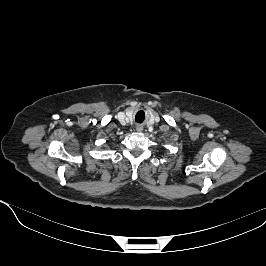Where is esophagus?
Wrapping results in <instances>:
<instances>
[{"instance_id": "34e87169", "label": "esophagus", "mask_w": 266, "mask_h": 266, "mask_svg": "<svg viewBox=\"0 0 266 266\" xmlns=\"http://www.w3.org/2000/svg\"><path fill=\"white\" fill-rule=\"evenodd\" d=\"M136 130H137L138 132H141V131H142V127H141L140 125H137V126H136Z\"/></svg>"}]
</instances>
